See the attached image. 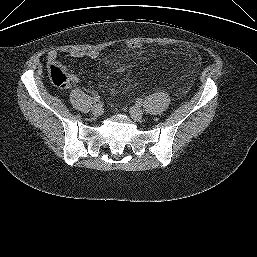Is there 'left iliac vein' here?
I'll use <instances>...</instances> for the list:
<instances>
[{"label": "left iliac vein", "instance_id": "4c4485c4", "mask_svg": "<svg viewBox=\"0 0 257 257\" xmlns=\"http://www.w3.org/2000/svg\"><path fill=\"white\" fill-rule=\"evenodd\" d=\"M130 116L135 121H140L143 118V111L137 106H132L129 110Z\"/></svg>", "mask_w": 257, "mask_h": 257}]
</instances>
